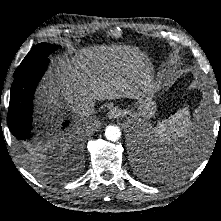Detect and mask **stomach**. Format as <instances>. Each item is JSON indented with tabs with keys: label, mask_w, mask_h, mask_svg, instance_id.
<instances>
[{
	"label": "stomach",
	"mask_w": 221,
	"mask_h": 221,
	"mask_svg": "<svg viewBox=\"0 0 221 221\" xmlns=\"http://www.w3.org/2000/svg\"><path fill=\"white\" fill-rule=\"evenodd\" d=\"M143 62L144 64L136 83L135 103L131 109L143 118H150L156 112V103L153 100L156 92V85L151 63L145 58Z\"/></svg>",
	"instance_id": "stomach-1"
}]
</instances>
